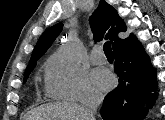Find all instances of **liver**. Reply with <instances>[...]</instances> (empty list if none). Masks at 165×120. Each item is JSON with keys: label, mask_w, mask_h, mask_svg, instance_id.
Masks as SVG:
<instances>
[{"label": "liver", "mask_w": 165, "mask_h": 120, "mask_svg": "<svg viewBox=\"0 0 165 120\" xmlns=\"http://www.w3.org/2000/svg\"><path fill=\"white\" fill-rule=\"evenodd\" d=\"M25 120H82V107L70 102L47 104L30 111Z\"/></svg>", "instance_id": "6515ba94"}]
</instances>
